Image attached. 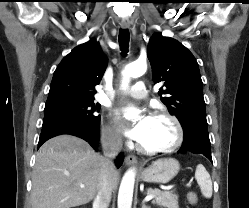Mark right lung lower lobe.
I'll return each instance as SVG.
<instances>
[{
    "label": "right lung lower lobe",
    "mask_w": 249,
    "mask_h": 208,
    "mask_svg": "<svg viewBox=\"0 0 249 208\" xmlns=\"http://www.w3.org/2000/svg\"><path fill=\"white\" fill-rule=\"evenodd\" d=\"M99 124L100 120L97 123L89 124L75 119L45 116L43 119L38 148L48 139L61 134H70L80 137L95 148L98 145ZM123 158L122 154L118 156L116 160L118 167L122 165Z\"/></svg>",
    "instance_id": "98d812e1"
}]
</instances>
